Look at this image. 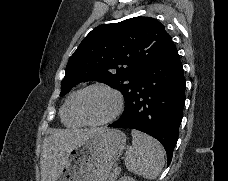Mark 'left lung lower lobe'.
Masks as SVG:
<instances>
[{"mask_svg":"<svg viewBox=\"0 0 228 181\" xmlns=\"http://www.w3.org/2000/svg\"><path fill=\"white\" fill-rule=\"evenodd\" d=\"M183 66L170 40L136 77L122 116L108 127L145 132L164 146L170 164L185 103Z\"/></svg>","mask_w":228,"mask_h":181,"instance_id":"1","label":"left lung lower lobe"}]
</instances>
